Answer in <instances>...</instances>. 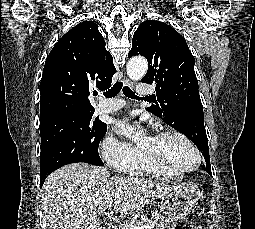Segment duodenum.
Returning <instances> with one entry per match:
<instances>
[{"label": "duodenum", "mask_w": 255, "mask_h": 229, "mask_svg": "<svg viewBox=\"0 0 255 229\" xmlns=\"http://www.w3.org/2000/svg\"><path fill=\"white\" fill-rule=\"evenodd\" d=\"M109 229H119L116 225L111 226Z\"/></svg>", "instance_id": "1"}]
</instances>
